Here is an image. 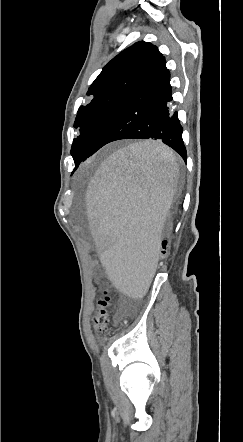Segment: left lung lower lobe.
Listing matches in <instances>:
<instances>
[{"mask_svg":"<svg viewBox=\"0 0 243 442\" xmlns=\"http://www.w3.org/2000/svg\"><path fill=\"white\" fill-rule=\"evenodd\" d=\"M170 74L162 57L146 78L113 110L90 145L84 160L101 147L121 139H158L187 160L182 126L170 112Z\"/></svg>","mask_w":243,"mask_h":442,"instance_id":"obj_1","label":"left lung lower lobe"}]
</instances>
